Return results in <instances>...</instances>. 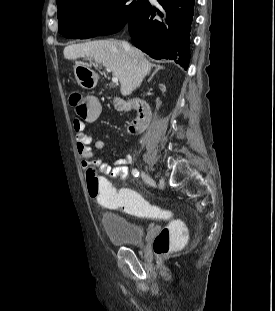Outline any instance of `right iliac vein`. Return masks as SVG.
Masks as SVG:
<instances>
[{
    "label": "right iliac vein",
    "instance_id": "1",
    "mask_svg": "<svg viewBox=\"0 0 275 311\" xmlns=\"http://www.w3.org/2000/svg\"><path fill=\"white\" fill-rule=\"evenodd\" d=\"M141 177L144 180V182L152 187L156 185L154 179L146 172L142 171L141 172Z\"/></svg>",
    "mask_w": 275,
    "mask_h": 311
}]
</instances>
